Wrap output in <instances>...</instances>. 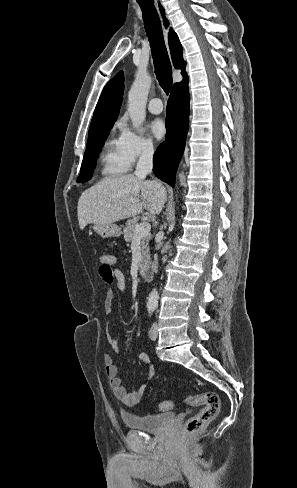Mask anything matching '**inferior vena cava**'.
Instances as JSON below:
<instances>
[{
    "mask_svg": "<svg viewBox=\"0 0 297 488\" xmlns=\"http://www.w3.org/2000/svg\"><path fill=\"white\" fill-rule=\"evenodd\" d=\"M153 153L154 149L152 145H144L142 147L141 154L135 170L136 176L144 177L146 174H150L152 172Z\"/></svg>",
    "mask_w": 297,
    "mask_h": 488,
    "instance_id": "inferior-vena-cava-1",
    "label": "inferior vena cava"
}]
</instances>
